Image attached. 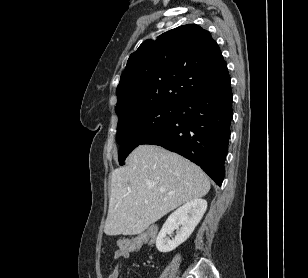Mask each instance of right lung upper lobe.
Returning <instances> with one entry per match:
<instances>
[{
    "mask_svg": "<svg viewBox=\"0 0 308 278\" xmlns=\"http://www.w3.org/2000/svg\"><path fill=\"white\" fill-rule=\"evenodd\" d=\"M227 65L211 34L196 24L146 40L130 55L116 90L119 121L157 105H179L229 80Z\"/></svg>",
    "mask_w": 308,
    "mask_h": 278,
    "instance_id": "obj_1",
    "label": "right lung upper lobe"
}]
</instances>
